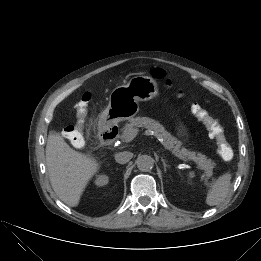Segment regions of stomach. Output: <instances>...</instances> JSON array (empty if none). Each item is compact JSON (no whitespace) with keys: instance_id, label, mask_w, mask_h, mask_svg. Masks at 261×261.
I'll return each instance as SVG.
<instances>
[{"instance_id":"0dacf381","label":"stomach","mask_w":261,"mask_h":261,"mask_svg":"<svg viewBox=\"0 0 261 261\" xmlns=\"http://www.w3.org/2000/svg\"><path fill=\"white\" fill-rule=\"evenodd\" d=\"M158 95L156 81L149 76L132 77L126 85L112 90L108 106L99 116L100 124L111 126L134 117L139 111V102L148 101ZM179 135L188 138L185 127L179 126Z\"/></svg>"}]
</instances>
